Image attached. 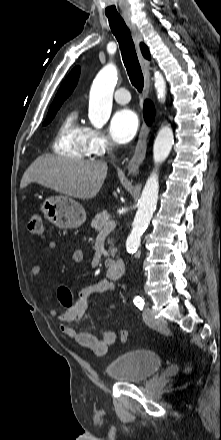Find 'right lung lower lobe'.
Instances as JSON below:
<instances>
[{"mask_svg": "<svg viewBox=\"0 0 221 440\" xmlns=\"http://www.w3.org/2000/svg\"><path fill=\"white\" fill-rule=\"evenodd\" d=\"M155 114L153 104L150 101L144 103V118L147 123L151 122Z\"/></svg>", "mask_w": 221, "mask_h": 440, "instance_id": "right-lung-lower-lobe-1", "label": "right lung lower lobe"}]
</instances>
